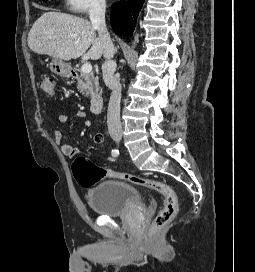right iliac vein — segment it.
Instances as JSON below:
<instances>
[{
  "instance_id": "1",
  "label": "right iliac vein",
  "mask_w": 255,
  "mask_h": 272,
  "mask_svg": "<svg viewBox=\"0 0 255 272\" xmlns=\"http://www.w3.org/2000/svg\"><path fill=\"white\" fill-rule=\"evenodd\" d=\"M114 141L119 142L122 139L121 135H115L113 136Z\"/></svg>"
}]
</instances>
